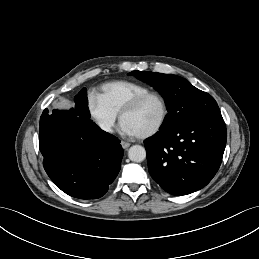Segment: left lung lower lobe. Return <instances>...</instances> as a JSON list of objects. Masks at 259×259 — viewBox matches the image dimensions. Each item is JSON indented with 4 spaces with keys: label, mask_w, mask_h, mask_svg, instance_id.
<instances>
[{
    "label": "left lung lower lobe",
    "mask_w": 259,
    "mask_h": 259,
    "mask_svg": "<svg viewBox=\"0 0 259 259\" xmlns=\"http://www.w3.org/2000/svg\"><path fill=\"white\" fill-rule=\"evenodd\" d=\"M226 139L221 115L172 130H160L145 141L149 173L172 195L200 190L218 171Z\"/></svg>",
    "instance_id": "obj_1"
}]
</instances>
